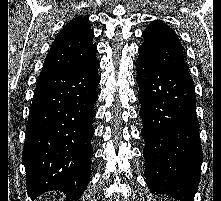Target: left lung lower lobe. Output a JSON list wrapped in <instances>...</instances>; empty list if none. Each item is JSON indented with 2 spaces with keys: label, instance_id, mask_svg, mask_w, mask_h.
<instances>
[{
  "label": "left lung lower lobe",
  "instance_id": "0a47b994",
  "mask_svg": "<svg viewBox=\"0 0 221 201\" xmlns=\"http://www.w3.org/2000/svg\"><path fill=\"white\" fill-rule=\"evenodd\" d=\"M146 183L155 195L193 201L203 161L190 76L136 61Z\"/></svg>",
  "mask_w": 221,
  "mask_h": 201
}]
</instances>
